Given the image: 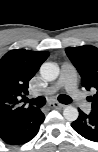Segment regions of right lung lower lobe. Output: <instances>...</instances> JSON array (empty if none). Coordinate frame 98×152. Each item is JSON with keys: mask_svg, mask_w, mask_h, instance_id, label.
I'll use <instances>...</instances> for the list:
<instances>
[{"mask_svg": "<svg viewBox=\"0 0 98 152\" xmlns=\"http://www.w3.org/2000/svg\"><path fill=\"white\" fill-rule=\"evenodd\" d=\"M45 119L40 109H36L25 116L10 130L0 134V140L10 145H20L30 141L39 131Z\"/></svg>", "mask_w": 98, "mask_h": 152, "instance_id": "1", "label": "right lung lower lobe"}]
</instances>
